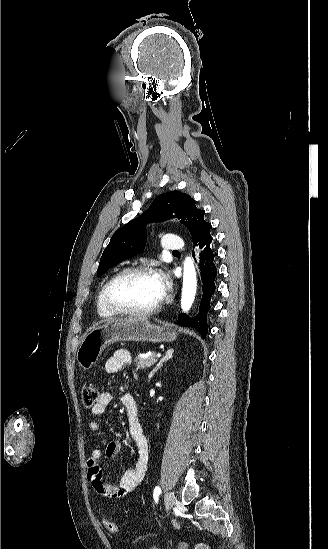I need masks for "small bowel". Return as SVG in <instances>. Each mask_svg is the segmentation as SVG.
Segmentation results:
<instances>
[{"label": "small bowel", "instance_id": "small-bowel-1", "mask_svg": "<svg viewBox=\"0 0 328 549\" xmlns=\"http://www.w3.org/2000/svg\"><path fill=\"white\" fill-rule=\"evenodd\" d=\"M131 360V354L127 350H117L107 359L105 371L108 374H116L124 367L130 365ZM112 399L113 397L109 392L101 393L96 404L91 409L92 414L95 416L103 415ZM120 400L126 410L130 440L137 450V459L134 467L125 470L117 483H108L103 478L100 460L104 455L108 458L116 457L122 447L121 440L109 442L105 451L100 448H94L87 461L88 475L93 487L100 495L109 499L121 498L131 493L143 480L149 461V444L138 420L135 400L130 394H123ZM88 428L91 432L98 433L100 431V424L92 420L88 423Z\"/></svg>", "mask_w": 328, "mask_h": 549}]
</instances>
